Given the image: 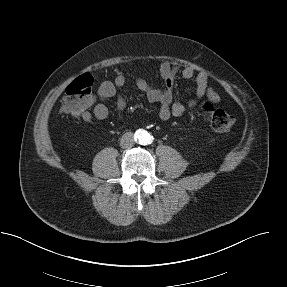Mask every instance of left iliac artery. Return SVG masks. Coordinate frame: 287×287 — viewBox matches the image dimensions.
Segmentation results:
<instances>
[{"instance_id": "left-iliac-artery-1", "label": "left iliac artery", "mask_w": 287, "mask_h": 287, "mask_svg": "<svg viewBox=\"0 0 287 287\" xmlns=\"http://www.w3.org/2000/svg\"><path fill=\"white\" fill-rule=\"evenodd\" d=\"M152 140H153V137H150V136H149V138H148V143L152 142Z\"/></svg>"}]
</instances>
